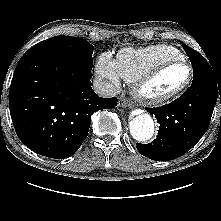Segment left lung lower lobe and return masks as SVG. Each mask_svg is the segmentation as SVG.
Masks as SVG:
<instances>
[{
  "instance_id": "obj_1",
  "label": "left lung lower lobe",
  "mask_w": 221,
  "mask_h": 221,
  "mask_svg": "<svg viewBox=\"0 0 221 221\" xmlns=\"http://www.w3.org/2000/svg\"><path fill=\"white\" fill-rule=\"evenodd\" d=\"M220 98L221 74L193 80L184 94L173 102L147 108L160 124L157 138L149 144H136L144 156L156 160L176 159L198 143L209 127L213 109Z\"/></svg>"
}]
</instances>
